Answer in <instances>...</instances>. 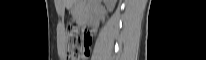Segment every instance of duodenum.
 <instances>
[{
  "mask_svg": "<svg viewBox=\"0 0 206 60\" xmlns=\"http://www.w3.org/2000/svg\"><path fill=\"white\" fill-rule=\"evenodd\" d=\"M88 23H89V20H88V19H85V20H84V23L81 24V27H82V28H87V27H88Z\"/></svg>",
  "mask_w": 206,
  "mask_h": 60,
  "instance_id": "duodenum-1",
  "label": "duodenum"
}]
</instances>
